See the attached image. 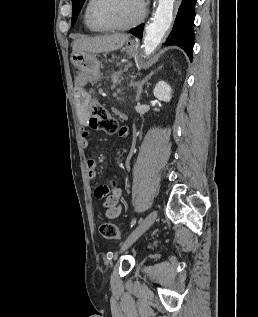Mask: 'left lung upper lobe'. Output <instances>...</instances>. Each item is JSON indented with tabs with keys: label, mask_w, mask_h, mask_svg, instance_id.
<instances>
[{
	"label": "left lung upper lobe",
	"mask_w": 258,
	"mask_h": 317,
	"mask_svg": "<svg viewBox=\"0 0 258 317\" xmlns=\"http://www.w3.org/2000/svg\"><path fill=\"white\" fill-rule=\"evenodd\" d=\"M84 2L85 0H72V8H73L72 24L75 23Z\"/></svg>",
	"instance_id": "obj_1"
}]
</instances>
